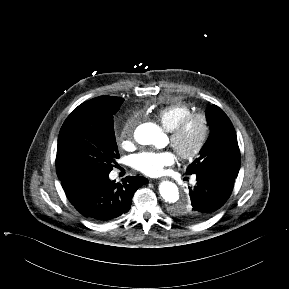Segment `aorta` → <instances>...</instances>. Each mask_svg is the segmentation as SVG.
Segmentation results:
<instances>
[{
	"label": "aorta",
	"instance_id": "obj_1",
	"mask_svg": "<svg viewBox=\"0 0 289 289\" xmlns=\"http://www.w3.org/2000/svg\"><path fill=\"white\" fill-rule=\"evenodd\" d=\"M135 139L141 145L153 144L158 146L162 139V132L155 124H142L135 132ZM159 192L166 202L173 204V210L179 211L180 208H186L189 204L187 201H180L178 187L173 182L163 181L159 185Z\"/></svg>",
	"mask_w": 289,
	"mask_h": 289
}]
</instances>
